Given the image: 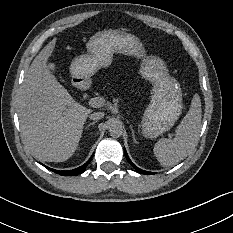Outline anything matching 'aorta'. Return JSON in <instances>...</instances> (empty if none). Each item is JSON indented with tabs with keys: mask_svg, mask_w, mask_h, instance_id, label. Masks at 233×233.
<instances>
[{
	"mask_svg": "<svg viewBox=\"0 0 233 233\" xmlns=\"http://www.w3.org/2000/svg\"><path fill=\"white\" fill-rule=\"evenodd\" d=\"M109 133L113 138H118L122 135L123 129L121 125L112 124L109 128Z\"/></svg>",
	"mask_w": 233,
	"mask_h": 233,
	"instance_id": "aorta-1",
	"label": "aorta"
}]
</instances>
